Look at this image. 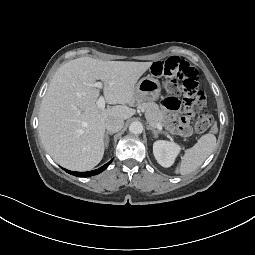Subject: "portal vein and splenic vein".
Masks as SVG:
<instances>
[{"label":"portal vein and splenic vein","mask_w":255,"mask_h":255,"mask_svg":"<svg viewBox=\"0 0 255 255\" xmlns=\"http://www.w3.org/2000/svg\"><path fill=\"white\" fill-rule=\"evenodd\" d=\"M95 87H97L98 89H101L103 87V83L102 82H96L94 84ZM97 106L101 109H104L105 108V99L103 96H100L99 99L97 100ZM155 127L158 129V130H162V125L157 123L155 124Z\"/></svg>","instance_id":"portal-vein-and-splenic-vein-1"}]
</instances>
